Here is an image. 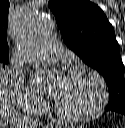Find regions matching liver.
<instances>
[{"instance_id":"liver-1","label":"liver","mask_w":125,"mask_h":128,"mask_svg":"<svg viewBox=\"0 0 125 128\" xmlns=\"http://www.w3.org/2000/svg\"><path fill=\"white\" fill-rule=\"evenodd\" d=\"M24 119L16 112L12 99V85L0 67V128H21Z\"/></svg>"}]
</instances>
